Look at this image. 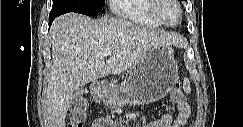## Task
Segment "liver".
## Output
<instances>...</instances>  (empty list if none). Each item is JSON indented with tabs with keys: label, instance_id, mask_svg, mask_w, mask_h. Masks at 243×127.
Returning a JSON list of instances; mask_svg holds the SVG:
<instances>
[{
	"label": "liver",
	"instance_id": "obj_1",
	"mask_svg": "<svg viewBox=\"0 0 243 127\" xmlns=\"http://www.w3.org/2000/svg\"><path fill=\"white\" fill-rule=\"evenodd\" d=\"M52 62L47 77L45 105L49 127H65L74 91L109 74L131 68L153 48H183L176 33L150 30L121 18L93 20L69 13L56 18L50 31ZM111 50L105 60L101 52Z\"/></svg>",
	"mask_w": 243,
	"mask_h": 127
}]
</instances>
